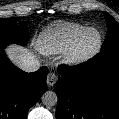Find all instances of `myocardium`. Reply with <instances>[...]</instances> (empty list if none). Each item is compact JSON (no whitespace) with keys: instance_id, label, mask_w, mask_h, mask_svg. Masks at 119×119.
<instances>
[{"instance_id":"myocardium-1","label":"myocardium","mask_w":119,"mask_h":119,"mask_svg":"<svg viewBox=\"0 0 119 119\" xmlns=\"http://www.w3.org/2000/svg\"><path fill=\"white\" fill-rule=\"evenodd\" d=\"M91 33H95L97 35V43L96 45L88 50L81 51L80 45L84 38ZM103 43V38L101 32L96 28H87L82 33H80L71 46L64 52V61L68 65L77 66L83 64L93 58L100 51Z\"/></svg>"}]
</instances>
